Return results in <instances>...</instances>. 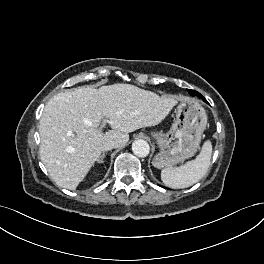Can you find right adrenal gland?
I'll return each mask as SVG.
<instances>
[{
  "instance_id": "2a0ac1e0",
  "label": "right adrenal gland",
  "mask_w": 264,
  "mask_h": 264,
  "mask_svg": "<svg viewBox=\"0 0 264 264\" xmlns=\"http://www.w3.org/2000/svg\"><path fill=\"white\" fill-rule=\"evenodd\" d=\"M105 156H106V154L103 153V154L100 156V158L97 159V163H103V162H104L103 159H104Z\"/></svg>"
}]
</instances>
